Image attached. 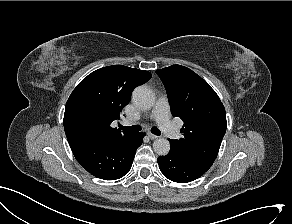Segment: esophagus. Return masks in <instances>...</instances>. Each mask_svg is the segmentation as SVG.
<instances>
[{"label": "esophagus", "mask_w": 292, "mask_h": 224, "mask_svg": "<svg viewBox=\"0 0 292 224\" xmlns=\"http://www.w3.org/2000/svg\"><path fill=\"white\" fill-rule=\"evenodd\" d=\"M148 136H149V138L152 139V140H154V139H158V138H159V136L154 135V134H152V133H148Z\"/></svg>", "instance_id": "esophagus-1"}]
</instances>
